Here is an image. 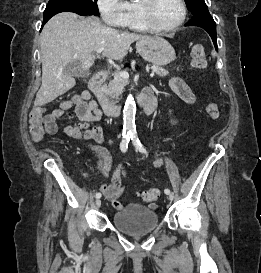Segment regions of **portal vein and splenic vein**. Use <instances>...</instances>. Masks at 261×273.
Returning a JSON list of instances; mask_svg holds the SVG:
<instances>
[{"instance_id":"1","label":"portal vein and splenic vein","mask_w":261,"mask_h":273,"mask_svg":"<svg viewBox=\"0 0 261 273\" xmlns=\"http://www.w3.org/2000/svg\"><path fill=\"white\" fill-rule=\"evenodd\" d=\"M103 50H104V48H99V49L96 50V52H97L98 54H100V53L103 52ZM119 75H120V77H122V78H124V79H128V78H129V74H128L127 71H121V72H119ZM153 76H154V72L152 71V72L150 73V77H153Z\"/></svg>"}]
</instances>
